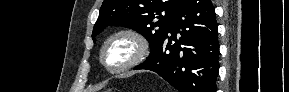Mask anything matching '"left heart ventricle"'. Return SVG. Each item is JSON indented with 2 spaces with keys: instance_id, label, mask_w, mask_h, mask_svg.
I'll return each mask as SVG.
<instances>
[{
  "instance_id": "obj_1",
  "label": "left heart ventricle",
  "mask_w": 289,
  "mask_h": 92,
  "mask_svg": "<svg viewBox=\"0 0 289 92\" xmlns=\"http://www.w3.org/2000/svg\"><path fill=\"white\" fill-rule=\"evenodd\" d=\"M133 53V44L125 38L114 40L106 52L107 63L111 66H119L125 63Z\"/></svg>"
}]
</instances>
